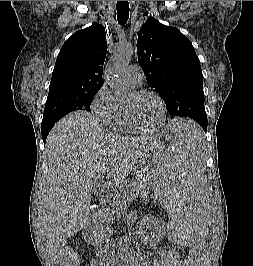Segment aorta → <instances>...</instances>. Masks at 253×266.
I'll return each instance as SVG.
<instances>
[{
	"label": "aorta",
	"mask_w": 253,
	"mask_h": 266,
	"mask_svg": "<svg viewBox=\"0 0 253 266\" xmlns=\"http://www.w3.org/2000/svg\"><path fill=\"white\" fill-rule=\"evenodd\" d=\"M133 54L134 47L132 45H122L106 65L104 79L116 97H127L130 93V86L125 79L124 71Z\"/></svg>",
	"instance_id": "aorta-1"
}]
</instances>
